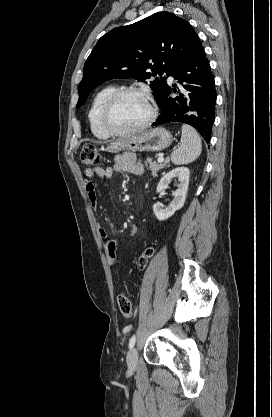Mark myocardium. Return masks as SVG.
<instances>
[{"label":"myocardium","instance_id":"f54148a6","mask_svg":"<svg viewBox=\"0 0 272 417\" xmlns=\"http://www.w3.org/2000/svg\"><path fill=\"white\" fill-rule=\"evenodd\" d=\"M127 94H137L145 99V101L148 104L150 114L149 117L139 126L132 128L127 131H119L114 129L109 122L111 111L116 104V102ZM157 117V108L154 103V100L152 96L146 92L145 90L138 88V87H124L116 89L105 101L100 115V122L101 126L104 129V131L109 134L110 136H116V137H126L131 136L136 133H139L146 128H148L156 119Z\"/></svg>","mask_w":272,"mask_h":417}]
</instances>
